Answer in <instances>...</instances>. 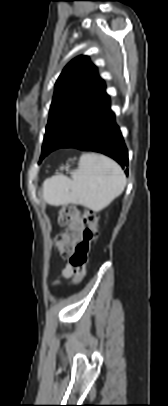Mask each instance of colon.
<instances>
[{
  "instance_id": "colon-1",
  "label": "colon",
  "mask_w": 168,
  "mask_h": 406,
  "mask_svg": "<svg viewBox=\"0 0 168 406\" xmlns=\"http://www.w3.org/2000/svg\"><path fill=\"white\" fill-rule=\"evenodd\" d=\"M97 222V214L86 208L65 206L58 212V223L66 229L56 238V246L70 262L73 285L86 275L90 246L97 237Z\"/></svg>"
}]
</instances>
